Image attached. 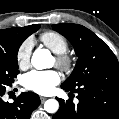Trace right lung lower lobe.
I'll return each instance as SVG.
<instances>
[{"instance_id":"right-lung-lower-lobe-1","label":"right lung lower lobe","mask_w":119,"mask_h":119,"mask_svg":"<svg viewBox=\"0 0 119 119\" xmlns=\"http://www.w3.org/2000/svg\"><path fill=\"white\" fill-rule=\"evenodd\" d=\"M7 86L0 85V119H30L31 113L41 103L34 92H23L14 103L4 102L2 97Z\"/></svg>"}]
</instances>
